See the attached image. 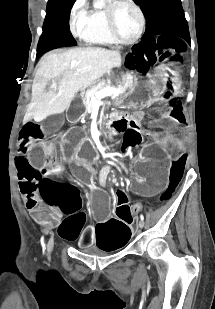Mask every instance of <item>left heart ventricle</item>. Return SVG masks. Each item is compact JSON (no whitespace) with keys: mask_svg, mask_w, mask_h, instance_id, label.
<instances>
[{"mask_svg":"<svg viewBox=\"0 0 215 309\" xmlns=\"http://www.w3.org/2000/svg\"><path fill=\"white\" fill-rule=\"evenodd\" d=\"M114 13L117 15V18L113 20V22L117 23L116 27L118 34H128L130 38L135 29V17L133 13L124 7L116 9Z\"/></svg>","mask_w":215,"mask_h":309,"instance_id":"b2bd125f","label":"left heart ventricle"}]
</instances>
